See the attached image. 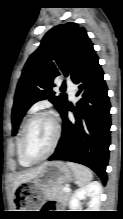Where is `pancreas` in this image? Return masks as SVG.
I'll list each match as a JSON object with an SVG mask.
<instances>
[{"label":"pancreas","instance_id":"obj_1","mask_svg":"<svg viewBox=\"0 0 123 219\" xmlns=\"http://www.w3.org/2000/svg\"><path fill=\"white\" fill-rule=\"evenodd\" d=\"M45 195L48 199H54L60 202H66L70 197V193L64 192L62 186H55L47 189Z\"/></svg>","mask_w":123,"mask_h":219}]
</instances>
